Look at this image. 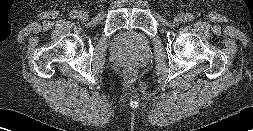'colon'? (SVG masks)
Segmentation results:
<instances>
[{
  "label": "colon",
  "mask_w": 253,
  "mask_h": 131,
  "mask_svg": "<svg viewBox=\"0 0 253 131\" xmlns=\"http://www.w3.org/2000/svg\"><path fill=\"white\" fill-rule=\"evenodd\" d=\"M126 76L129 79L133 80L135 78V72L132 69H127L126 70Z\"/></svg>",
  "instance_id": "obj_1"
}]
</instances>
